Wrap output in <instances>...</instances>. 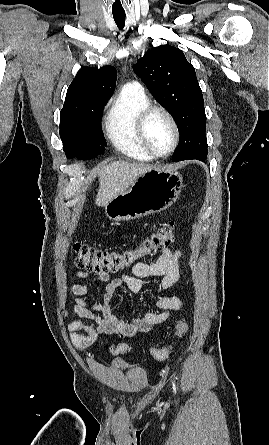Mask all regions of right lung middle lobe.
<instances>
[{"label": "right lung middle lobe", "instance_id": "dd1d6c3e", "mask_svg": "<svg viewBox=\"0 0 269 445\" xmlns=\"http://www.w3.org/2000/svg\"><path fill=\"white\" fill-rule=\"evenodd\" d=\"M106 103L63 107L60 113V137L67 158L91 159L105 150L100 117Z\"/></svg>", "mask_w": 269, "mask_h": 445}]
</instances>
